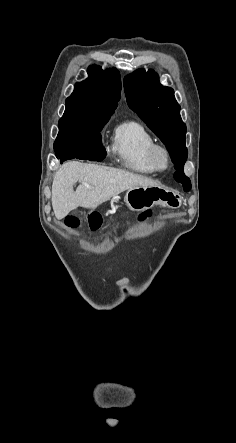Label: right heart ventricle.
Returning a JSON list of instances; mask_svg holds the SVG:
<instances>
[{"instance_id": "obj_1", "label": "right heart ventricle", "mask_w": 236, "mask_h": 443, "mask_svg": "<svg viewBox=\"0 0 236 443\" xmlns=\"http://www.w3.org/2000/svg\"><path fill=\"white\" fill-rule=\"evenodd\" d=\"M155 143L144 125L127 120L115 129L113 151L122 167L140 174H154L157 170L150 161L149 151Z\"/></svg>"}]
</instances>
